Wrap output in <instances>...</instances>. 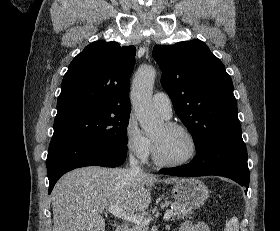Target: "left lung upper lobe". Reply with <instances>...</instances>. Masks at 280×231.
<instances>
[{"label":"left lung upper lobe","mask_w":280,"mask_h":231,"mask_svg":"<svg viewBox=\"0 0 280 231\" xmlns=\"http://www.w3.org/2000/svg\"><path fill=\"white\" fill-rule=\"evenodd\" d=\"M153 58L162 69L161 83L196 147L241 133L231 77L204 42L157 45Z\"/></svg>","instance_id":"left-lung-upper-lobe-1"}]
</instances>
